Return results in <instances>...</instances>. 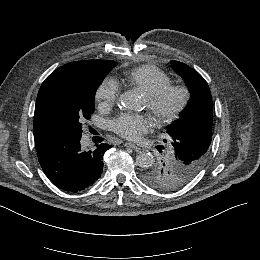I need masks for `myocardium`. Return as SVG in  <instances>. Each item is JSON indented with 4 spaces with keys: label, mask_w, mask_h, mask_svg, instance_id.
I'll list each match as a JSON object with an SVG mask.
<instances>
[{
    "label": "myocardium",
    "mask_w": 260,
    "mask_h": 260,
    "mask_svg": "<svg viewBox=\"0 0 260 260\" xmlns=\"http://www.w3.org/2000/svg\"><path fill=\"white\" fill-rule=\"evenodd\" d=\"M179 96L178 103L171 109H164V103L171 94ZM146 107L153 116L157 127H165L177 119L187 108L190 101L189 89L181 84L169 83L145 95Z\"/></svg>",
    "instance_id": "myocardium-1"
}]
</instances>
